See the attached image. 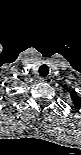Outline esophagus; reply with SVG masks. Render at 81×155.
<instances>
[{"instance_id": "obj_1", "label": "esophagus", "mask_w": 81, "mask_h": 155, "mask_svg": "<svg viewBox=\"0 0 81 155\" xmlns=\"http://www.w3.org/2000/svg\"><path fill=\"white\" fill-rule=\"evenodd\" d=\"M40 82L50 84L52 82V79L50 77H41Z\"/></svg>"}]
</instances>
